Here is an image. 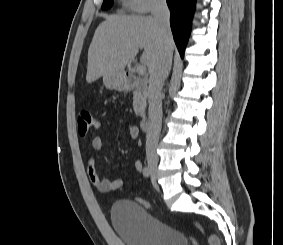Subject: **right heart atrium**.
I'll use <instances>...</instances> for the list:
<instances>
[{
    "label": "right heart atrium",
    "mask_w": 283,
    "mask_h": 245,
    "mask_svg": "<svg viewBox=\"0 0 283 245\" xmlns=\"http://www.w3.org/2000/svg\"><path fill=\"white\" fill-rule=\"evenodd\" d=\"M165 0H125L127 6L138 13H147L164 4Z\"/></svg>",
    "instance_id": "d8ad5b80"
}]
</instances>
